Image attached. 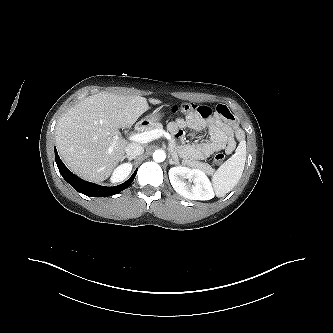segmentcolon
<instances>
[{"label": "colon", "instance_id": "obj_1", "mask_svg": "<svg viewBox=\"0 0 333 333\" xmlns=\"http://www.w3.org/2000/svg\"><path fill=\"white\" fill-rule=\"evenodd\" d=\"M201 106H198L195 103L192 102H184L181 103L179 105H173L171 107V111L172 112H194V111H198L200 109ZM225 159V155L223 153H216L213 157V161L216 165H220L224 162Z\"/></svg>", "mask_w": 333, "mask_h": 333}]
</instances>
